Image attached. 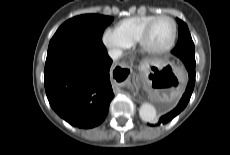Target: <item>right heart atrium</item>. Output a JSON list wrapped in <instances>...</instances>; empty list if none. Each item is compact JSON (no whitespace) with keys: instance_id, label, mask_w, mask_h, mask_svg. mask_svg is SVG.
<instances>
[{"instance_id":"1","label":"right heart atrium","mask_w":230,"mask_h":155,"mask_svg":"<svg viewBox=\"0 0 230 155\" xmlns=\"http://www.w3.org/2000/svg\"><path fill=\"white\" fill-rule=\"evenodd\" d=\"M103 44L111 50L115 55H121L131 46L125 41L115 30L106 29L102 34Z\"/></svg>"}]
</instances>
